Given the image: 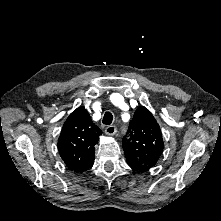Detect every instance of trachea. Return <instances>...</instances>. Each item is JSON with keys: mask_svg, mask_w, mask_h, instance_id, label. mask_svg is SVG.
Here are the masks:
<instances>
[{"mask_svg": "<svg viewBox=\"0 0 221 221\" xmlns=\"http://www.w3.org/2000/svg\"><path fill=\"white\" fill-rule=\"evenodd\" d=\"M113 121V115L110 112H106L103 117V124L110 125Z\"/></svg>", "mask_w": 221, "mask_h": 221, "instance_id": "obj_1", "label": "trachea"}]
</instances>
